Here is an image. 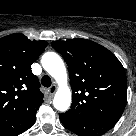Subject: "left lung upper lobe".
Segmentation results:
<instances>
[{
  "mask_svg": "<svg viewBox=\"0 0 136 136\" xmlns=\"http://www.w3.org/2000/svg\"><path fill=\"white\" fill-rule=\"evenodd\" d=\"M65 59L73 92L71 108L62 117L117 122L127 102L125 70L105 47L87 39L53 41Z\"/></svg>",
  "mask_w": 136,
  "mask_h": 136,
  "instance_id": "obj_1",
  "label": "left lung upper lobe"
}]
</instances>
